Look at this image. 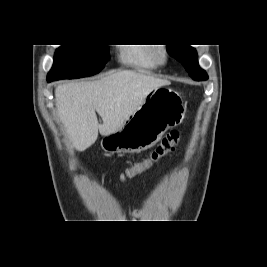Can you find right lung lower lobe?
Listing matches in <instances>:
<instances>
[{
	"label": "right lung lower lobe",
	"instance_id": "1",
	"mask_svg": "<svg viewBox=\"0 0 267 267\" xmlns=\"http://www.w3.org/2000/svg\"><path fill=\"white\" fill-rule=\"evenodd\" d=\"M47 81H48V82H52V81H54V80H53V79H47Z\"/></svg>",
	"mask_w": 267,
	"mask_h": 267
}]
</instances>
